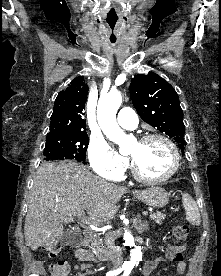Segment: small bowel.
I'll use <instances>...</instances> for the list:
<instances>
[{"label":"small bowel","mask_w":221,"mask_h":276,"mask_svg":"<svg viewBox=\"0 0 221 276\" xmlns=\"http://www.w3.org/2000/svg\"><path fill=\"white\" fill-rule=\"evenodd\" d=\"M185 248L181 245H175L170 246L166 250L165 257L166 259L175 262L176 265V271L178 274H184L186 270V265L183 260V254H184ZM76 257L81 261H94L93 254L84 249H78L76 250ZM163 258H155L152 260H148L145 262L143 267V276H149L152 271L157 267L159 262H161Z\"/></svg>","instance_id":"c3829d8e"}]
</instances>
